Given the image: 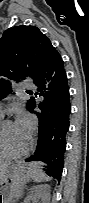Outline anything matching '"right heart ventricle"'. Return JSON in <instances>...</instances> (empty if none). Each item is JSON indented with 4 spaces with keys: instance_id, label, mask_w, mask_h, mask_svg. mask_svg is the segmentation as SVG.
<instances>
[{
    "instance_id": "1",
    "label": "right heart ventricle",
    "mask_w": 89,
    "mask_h": 203,
    "mask_svg": "<svg viewBox=\"0 0 89 203\" xmlns=\"http://www.w3.org/2000/svg\"><path fill=\"white\" fill-rule=\"evenodd\" d=\"M0 157L1 158H6V156L4 154H1Z\"/></svg>"
}]
</instances>
